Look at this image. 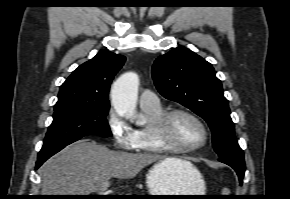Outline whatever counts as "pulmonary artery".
I'll return each mask as SVG.
<instances>
[{
	"instance_id": "pulmonary-artery-1",
	"label": "pulmonary artery",
	"mask_w": 290,
	"mask_h": 199,
	"mask_svg": "<svg viewBox=\"0 0 290 199\" xmlns=\"http://www.w3.org/2000/svg\"><path fill=\"white\" fill-rule=\"evenodd\" d=\"M139 104L141 107L158 108L160 107V100L154 92L144 89L140 93Z\"/></svg>"
}]
</instances>
